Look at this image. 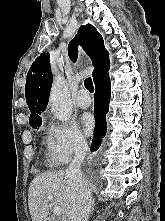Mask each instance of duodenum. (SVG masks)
Here are the masks:
<instances>
[{
	"label": "duodenum",
	"instance_id": "410a0bca",
	"mask_svg": "<svg viewBox=\"0 0 165 221\" xmlns=\"http://www.w3.org/2000/svg\"><path fill=\"white\" fill-rule=\"evenodd\" d=\"M45 221H55V220L52 218H47V219H45Z\"/></svg>",
	"mask_w": 165,
	"mask_h": 221
}]
</instances>
